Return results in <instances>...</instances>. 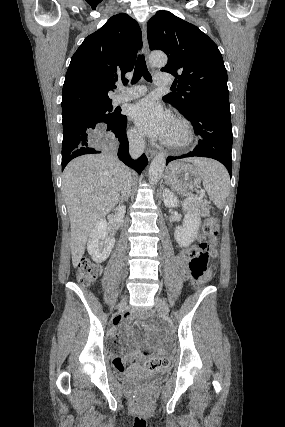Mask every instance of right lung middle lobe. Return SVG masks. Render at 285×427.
<instances>
[{"label": "right lung middle lobe", "mask_w": 285, "mask_h": 427, "mask_svg": "<svg viewBox=\"0 0 285 427\" xmlns=\"http://www.w3.org/2000/svg\"><path fill=\"white\" fill-rule=\"evenodd\" d=\"M112 111L111 102L78 110L66 116H63V135L68 124H72L78 120H88L94 124L101 126V130L109 131L115 127V124L123 117L120 112Z\"/></svg>", "instance_id": "dd1d6c3e"}]
</instances>
